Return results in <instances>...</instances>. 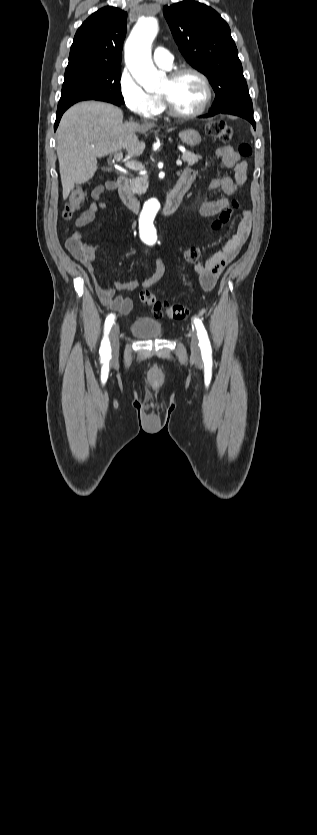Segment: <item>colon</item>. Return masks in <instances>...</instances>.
I'll list each match as a JSON object with an SVG mask.
<instances>
[{"label": "colon", "mask_w": 317, "mask_h": 835, "mask_svg": "<svg viewBox=\"0 0 317 835\" xmlns=\"http://www.w3.org/2000/svg\"><path fill=\"white\" fill-rule=\"evenodd\" d=\"M206 131L209 136L224 143L230 141L233 135L232 128L223 121H214L209 123L206 127ZM238 152L242 157H249L252 151L248 144L242 143L238 147ZM85 198L86 193L81 187H74L70 191L63 211V216L66 220H71L74 217L85 201ZM237 207L238 203L236 201H232L227 208L221 211L219 217L212 223V230H219L223 226L227 225ZM88 248L89 247L83 245L82 243L75 246L76 251L79 253H82ZM184 256L188 261H195L200 256V249L196 246L189 247L184 251ZM139 298L143 304L151 307L156 316H166L170 319L181 320L187 314V309L184 305L165 304L159 301L148 289L141 290Z\"/></svg>", "instance_id": "5ec220e1"}]
</instances>
